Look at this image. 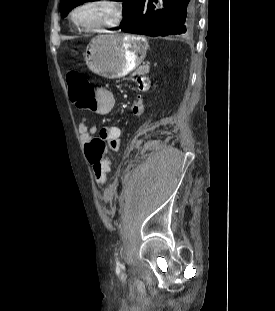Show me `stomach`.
I'll use <instances>...</instances> for the list:
<instances>
[{
  "mask_svg": "<svg viewBox=\"0 0 275 311\" xmlns=\"http://www.w3.org/2000/svg\"><path fill=\"white\" fill-rule=\"evenodd\" d=\"M147 49L148 43L141 36L99 35L88 44L84 59L93 73L116 79L136 69L143 62Z\"/></svg>",
  "mask_w": 275,
  "mask_h": 311,
  "instance_id": "obj_1",
  "label": "stomach"
}]
</instances>
